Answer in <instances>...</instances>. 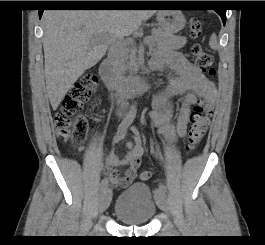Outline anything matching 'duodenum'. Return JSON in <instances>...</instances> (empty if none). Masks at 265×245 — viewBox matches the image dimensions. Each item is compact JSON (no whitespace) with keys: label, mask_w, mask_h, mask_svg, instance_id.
I'll list each match as a JSON object with an SVG mask.
<instances>
[{"label":"duodenum","mask_w":265,"mask_h":245,"mask_svg":"<svg viewBox=\"0 0 265 245\" xmlns=\"http://www.w3.org/2000/svg\"><path fill=\"white\" fill-rule=\"evenodd\" d=\"M150 69L144 68L143 76H135L130 79L119 78L115 74V65L110 60H104L99 66V74L107 89L115 94L129 97L135 92L141 91L149 84L147 73Z\"/></svg>","instance_id":"obj_1"}]
</instances>
